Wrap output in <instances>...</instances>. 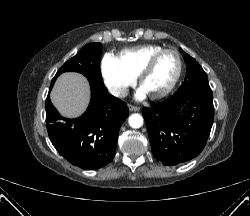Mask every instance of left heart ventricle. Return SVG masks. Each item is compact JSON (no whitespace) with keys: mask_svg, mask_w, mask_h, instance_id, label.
<instances>
[{"mask_svg":"<svg viewBox=\"0 0 250 216\" xmlns=\"http://www.w3.org/2000/svg\"><path fill=\"white\" fill-rule=\"evenodd\" d=\"M177 68L176 56L171 53L163 54L158 58L150 73L145 77L141 87L149 96L161 93L173 80Z\"/></svg>","mask_w":250,"mask_h":216,"instance_id":"obj_1","label":"left heart ventricle"}]
</instances>
